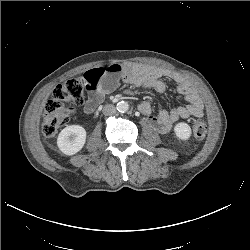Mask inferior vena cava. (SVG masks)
I'll use <instances>...</instances> for the list:
<instances>
[{
  "instance_id": "1",
  "label": "inferior vena cava",
  "mask_w": 250,
  "mask_h": 250,
  "mask_svg": "<svg viewBox=\"0 0 250 250\" xmlns=\"http://www.w3.org/2000/svg\"><path fill=\"white\" fill-rule=\"evenodd\" d=\"M103 113L104 115H107V116L114 115L116 113V108L112 104H107L103 108Z\"/></svg>"
}]
</instances>
